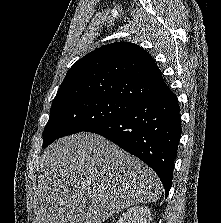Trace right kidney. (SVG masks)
<instances>
[{
	"label": "right kidney",
	"instance_id": "right-kidney-1",
	"mask_svg": "<svg viewBox=\"0 0 221 223\" xmlns=\"http://www.w3.org/2000/svg\"><path fill=\"white\" fill-rule=\"evenodd\" d=\"M151 211L148 207L134 206L124 212L117 223H151Z\"/></svg>",
	"mask_w": 221,
	"mask_h": 223
}]
</instances>
